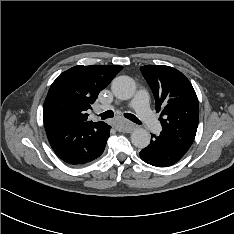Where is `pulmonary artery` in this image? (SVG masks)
Returning a JSON list of instances; mask_svg holds the SVG:
<instances>
[{"mask_svg":"<svg viewBox=\"0 0 234 234\" xmlns=\"http://www.w3.org/2000/svg\"><path fill=\"white\" fill-rule=\"evenodd\" d=\"M132 106L135 108L139 117L144 121L147 129L157 130L159 128V122L154 117L153 113L148 107V94L145 90H140L132 102ZM115 106L104 107L103 109H115Z\"/></svg>","mask_w":234,"mask_h":234,"instance_id":"pulmonary-artery-1","label":"pulmonary artery"}]
</instances>
